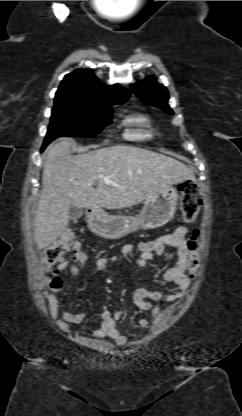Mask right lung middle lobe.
I'll return each instance as SVG.
<instances>
[{"mask_svg":"<svg viewBox=\"0 0 242 416\" xmlns=\"http://www.w3.org/2000/svg\"><path fill=\"white\" fill-rule=\"evenodd\" d=\"M112 114L109 102L55 101L43 148L60 136L94 137L110 124Z\"/></svg>","mask_w":242,"mask_h":416,"instance_id":"dd1d6c3e","label":"right lung middle lobe"}]
</instances>
